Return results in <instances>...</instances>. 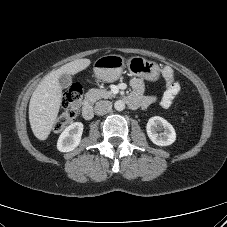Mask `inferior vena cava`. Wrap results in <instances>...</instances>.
<instances>
[{"label":"inferior vena cava","instance_id":"obj_1","mask_svg":"<svg viewBox=\"0 0 227 227\" xmlns=\"http://www.w3.org/2000/svg\"><path fill=\"white\" fill-rule=\"evenodd\" d=\"M112 109V103L110 101H99L95 105V113L97 115H104Z\"/></svg>","mask_w":227,"mask_h":227}]
</instances>
